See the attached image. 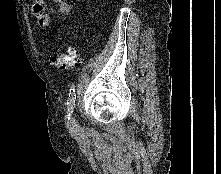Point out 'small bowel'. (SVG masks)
<instances>
[{
  "label": "small bowel",
  "mask_w": 221,
  "mask_h": 174,
  "mask_svg": "<svg viewBox=\"0 0 221 174\" xmlns=\"http://www.w3.org/2000/svg\"><path fill=\"white\" fill-rule=\"evenodd\" d=\"M32 2V14L41 27H48L51 22V16L45 11L46 0H30ZM57 5V12L66 15L70 12L71 5L67 0H53Z\"/></svg>",
  "instance_id": "c3829d8e"
}]
</instances>
